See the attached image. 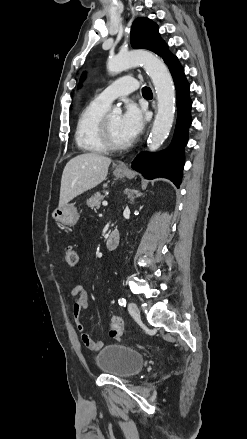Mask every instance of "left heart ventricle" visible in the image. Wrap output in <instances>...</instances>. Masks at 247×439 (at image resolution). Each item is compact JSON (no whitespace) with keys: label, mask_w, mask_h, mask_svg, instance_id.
Here are the masks:
<instances>
[{"label":"left heart ventricle","mask_w":247,"mask_h":439,"mask_svg":"<svg viewBox=\"0 0 247 439\" xmlns=\"http://www.w3.org/2000/svg\"><path fill=\"white\" fill-rule=\"evenodd\" d=\"M120 117L121 116L118 114H110L109 115L108 119H109V124H110V130H111V134H112V137H113L115 142L125 143L128 140L124 137V135L121 132Z\"/></svg>","instance_id":"b2bd125f"}]
</instances>
